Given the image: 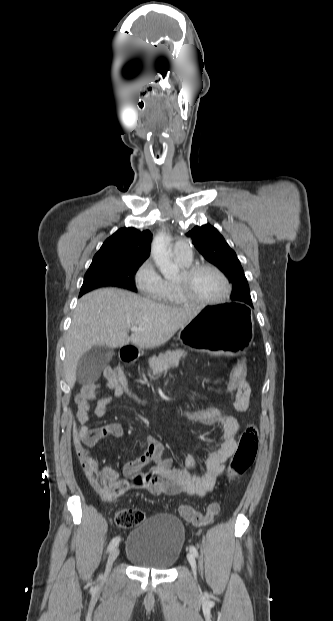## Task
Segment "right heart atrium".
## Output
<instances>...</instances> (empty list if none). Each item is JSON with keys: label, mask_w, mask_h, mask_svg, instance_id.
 Wrapping results in <instances>:
<instances>
[{"label": "right heart atrium", "mask_w": 333, "mask_h": 621, "mask_svg": "<svg viewBox=\"0 0 333 621\" xmlns=\"http://www.w3.org/2000/svg\"><path fill=\"white\" fill-rule=\"evenodd\" d=\"M135 284L141 293L156 299L161 291L163 279L154 268L153 263L147 260L137 270Z\"/></svg>", "instance_id": "d8ad5b80"}]
</instances>
